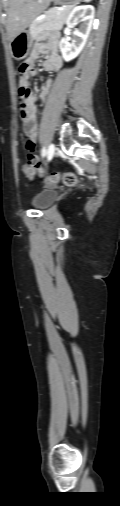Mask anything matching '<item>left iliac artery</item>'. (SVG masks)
I'll return each instance as SVG.
<instances>
[{
	"instance_id": "left-iliac-artery-1",
	"label": "left iliac artery",
	"mask_w": 120,
	"mask_h": 506,
	"mask_svg": "<svg viewBox=\"0 0 120 506\" xmlns=\"http://www.w3.org/2000/svg\"><path fill=\"white\" fill-rule=\"evenodd\" d=\"M46 154H47L46 148H45V147H43V148H42V150H41V155H42V157H45V156H46Z\"/></svg>"
}]
</instances>
